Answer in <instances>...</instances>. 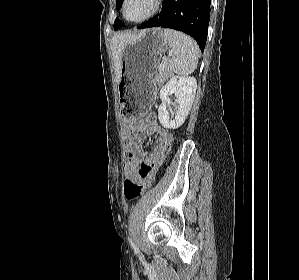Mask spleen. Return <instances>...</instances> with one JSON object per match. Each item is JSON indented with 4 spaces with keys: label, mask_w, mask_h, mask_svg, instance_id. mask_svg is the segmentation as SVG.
<instances>
[{
    "label": "spleen",
    "mask_w": 299,
    "mask_h": 280,
    "mask_svg": "<svg viewBox=\"0 0 299 280\" xmlns=\"http://www.w3.org/2000/svg\"><path fill=\"white\" fill-rule=\"evenodd\" d=\"M164 34L172 50L170 71L183 76L193 73L200 55L197 43L188 35L172 29H165Z\"/></svg>",
    "instance_id": "obj_1"
}]
</instances>
